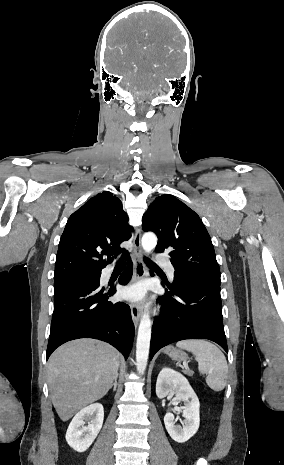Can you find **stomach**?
Wrapping results in <instances>:
<instances>
[{"label": "stomach", "instance_id": "stomach-1", "mask_svg": "<svg viewBox=\"0 0 284 465\" xmlns=\"http://www.w3.org/2000/svg\"><path fill=\"white\" fill-rule=\"evenodd\" d=\"M165 353L172 361H178V363H185V361L189 359L185 351H182V349H175V347H166Z\"/></svg>", "mask_w": 284, "mask_h": 465}]
</instances>
